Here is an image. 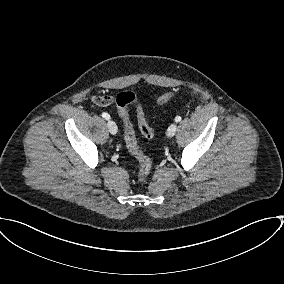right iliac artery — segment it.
<instances>
[{
	"label": "right iliac artery",
	"instance_id": "1",
	"mask_svg": "<svg viewBox=\"0 0 284 284\" xmlns=\"http://www.w3.org/2000/svg\"><path fill=\"white\" fill-rule=\"evenodd\" d=\"M101 115H102V117L105 118L106 120H109V119H110V115H109L108 113L103 112Z\"/></svg>",
	"mask_w": 284,
	"mask_h": 284
}]
</instances>
